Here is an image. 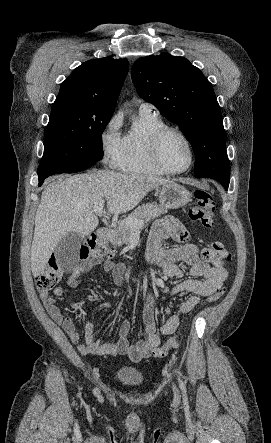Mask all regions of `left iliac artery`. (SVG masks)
<instances>
[{
  "label": "left iliac artery",
  "instance_id": "left-iliac-artery-1",
  "mask_svg": "<svg viewBox=\"0 0 271 443\" xmlns=\"http://www.w3.org/2000/svg\"><path fill=\"white\" fill-rule=\"evenodd\" d=\"M178 381H179L180 389L182 390V393L185 395L186 394V386H185V383L181 380L180 376H178Z\"/></svg>",
  "mask_w": 271,
  "mask_h": 443
}]
</instances>
